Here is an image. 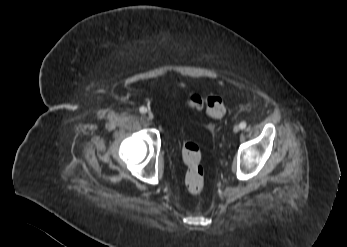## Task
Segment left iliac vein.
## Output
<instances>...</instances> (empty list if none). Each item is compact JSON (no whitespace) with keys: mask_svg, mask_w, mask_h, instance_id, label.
<instances>
[{"mask_svg":"<svg viewBox=\"0 0 347 247\" xmlns=\"http://www.w3.org/2000/svg\"><path fill=\"white\" fill-rule=\"evenodd\" d=\"M233 131L235 133L239 132L240 131V126H238V125L234 126Z\"/></svg>","mask_w":347,"mask_h":247,"instance_id":"obj_1","label":"left iliac vein"}]
</instances>
